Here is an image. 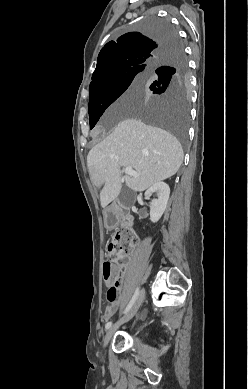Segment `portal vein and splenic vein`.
Masks as SVG:
<instances>
[{
    "label": "portal vein and splenic vein",
    "instance_id": "18ae733b",
    "mask_svg": "<svg viewBox=\"0 0 248 389\" xmlns=\"http://www.w3.org/2000/svg\"><path fill=\"white\" fill-rule=\"evenodd\" d=\"M123 172H124L125 174H127V175H132V176H135V177H138V176H139V174H138L136 171H134L133 168L130 167V166L125 167V168L123 169Z\"/></svg>",
    "mask_w": 248,
    "mask_h": 389
}]
</instances>
